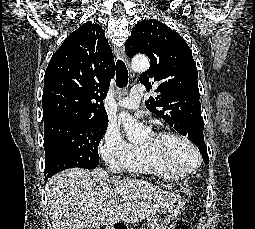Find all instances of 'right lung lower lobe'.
Returning a JSON list of instances; mask_svg holds the SVG:
<instances>
[{"label": "right lung lower lobe", "mask_w": 255, "mask_h": 229, "mask_svg": "<svg viewBox=\"0 0 255 229\" xmlns=\"http://www.w3.org/2000/svg\"><path fill=\"white\" fill-rule=\"evenodd\" d=\"M49 177H50V176H47V177H46V179H45V181H46V180H47V178H49Z\"/></svg>", "instance_id": "obj_1"}]
</instances>
